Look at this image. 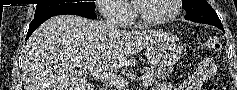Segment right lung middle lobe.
<instances>
[{
  "mask_svg": "<svg viewBox=\"0 0 237 90\" xmlns=\"http://www.w3.org/2000/svg\"><path fill=\"white\" fill-rule=\"evenodd\" d=\"M69 9H85L95 11V3L78 2V3L37 4L34 19Z\"/></svg>",
  "mask_w": 237,
  "mask_h": 90,
  "instance_id": "1",
  "label": "right lung middle lobe"
}]
</instances>
